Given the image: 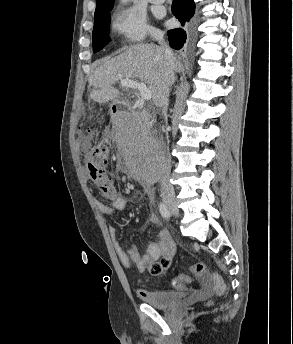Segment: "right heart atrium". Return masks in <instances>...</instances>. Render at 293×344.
Wrapping results in <instances>:
<instances>
[{
  "mask_svg": "<svg viewBox=\"0 0 293 344\" xmlns=\"http://www.w3.org/2000/svg\"><path fill=\"white\" fill-rule=\"evenodd\" d=\"M111 29L128 47L142 45L148 38H158L159 31L151 27L146 17L132 7L118 8L111 18Z\"/></svg>",
  "mask_w": 293,
  "mask_h": 344,
  "instance_id": "right-heart-atrium-1",
  "label": "right heart atrium"
}]
</instances>
